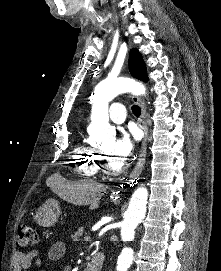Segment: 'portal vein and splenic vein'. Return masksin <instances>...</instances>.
<instances>
[{
  "label": "portal vein and splenic vein",
  "instance_id": "portal-vein-and-splenic-vein-1",
  "mask_svg": "<svg viewBox=\"0 0 221 271\" xmlns=\"http://www.w3.org/2000/svg\"><path fill=\"white\" fill-rule=\"evenodd\" d=\"M84 240H85V242H90L91 239H90V237H85Z\"/></svg>",
  "mask_w": 221,
  "mask_h": 271
}]
</instances>
